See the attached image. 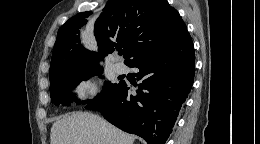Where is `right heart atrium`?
Masks as SVG:
<instances>
[{
	"label": "right heart atrium",
	"instance_id": "d8ad5b80",
	"mask_svg": "<svg viewBox=\"0 0 260 144\" xmlns=\"http://www.w3.org/2000/svg\"><path fill=\"white\" fill-rule=\"evenodd\" d=\"M96 92H97V85L91 79L81 80L72 88V94L81 99L91 97L95 95Z\"/></svg>",
	"mask_w": 260,
	"mask_h": 144
}]
</instances>
